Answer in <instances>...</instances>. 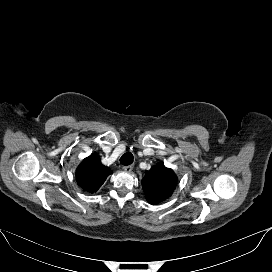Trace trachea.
I'll return each mask as SVG.
<instances>
[{
  "mask_svg": "<svg viewBox=\"0 0 272 272\" xmlns=\"http://www.w3.org/2000/svg\"><path fill=\"white\" fill-rule=\"evenodd\" d=\"M120 163L124 166H128L133 163V155L131 152H126L120 158Z\"/></svg>",
  "mask_w": 272,
  "mask_h": 272,
  "instance_id": "obj_1",
  "label": "trachea"
}]
</instances>
